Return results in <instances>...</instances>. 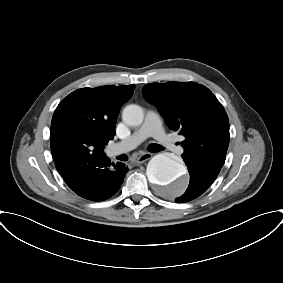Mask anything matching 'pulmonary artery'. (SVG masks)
Returning a JSON list of instances; mask_svg holds the SVG:
<instances>
[{
    "label": "pulmonary artery",
    "instance_id": "1",
    "mask_svg": "<svg viewBox=\"0 0 283 283\" xmlns=\"http://www.w3.org/2000/svg\"><path fill=\"white\" fill-rule=\"evenodd\" d=\"M148 137H154L164 148L170 151H178L175 141L165 133L159 113L154 110L147 112L143 125L127 139L116 144L115 150H131Z\"/></svg>",
    "mask_w": 283,
    "mask_h": 283
}]
</instances>
